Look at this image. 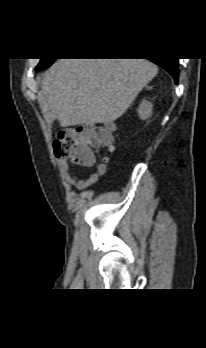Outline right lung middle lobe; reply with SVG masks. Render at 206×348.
I'll list each match as a JSON object with an SVG mask.
<instances>
[{
  "label": "right lung middle lobe",
  "instance_id": "obj_1",
  "mask_svg": "<svg viewBox=\"0 0 206 348\" xmlns=\"http://www.w3.org/2000/svg\"><path fill=\"white\" fill-rule=\"evenodd\" d=\"M55 59H41L40 63L36 67V70L44 69L48 66H50Z\"/></svg>",
  "mask_w": 206,
  "mask_h": 348
}]
</instances>
